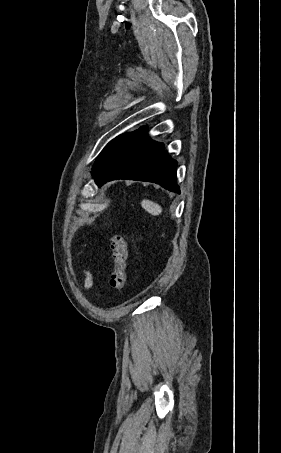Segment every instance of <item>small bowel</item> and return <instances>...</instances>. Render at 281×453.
I'll return each mask as SVG.
<instances>
[{"label":"small bowel","mask_w":281,"mask_h":453,"mask_svg":"<svg viewBox=\"0 0 281 453\" xmlns=\"http://www.w3.org/2000/svg\"><path fill=\"white\" fill-rule=\"evenodd\" d=\"M85 288L89 289L92 286V278L90 275H87L84 281Z\"/></svg>","instance_id":"small-bowel-1"}]
</instances>
